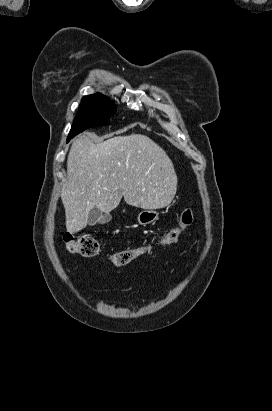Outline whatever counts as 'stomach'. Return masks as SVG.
<instances>
[{
	"label": "stomach",
	"instance_id": "stomach-1",
	"mask_svg": "<svg viewBox=\"0 0 272 411\" xmlns=\"http://www.w3.org/2000/svg\"><path fill=\"white\" fill-rule=\"evenodd\" d=\"M138 222L141 225H148L158 219V213L154 210H143L138 214Z\"/></svg>",
	"mask_w": 272,
	"mask_h": 411
}]
</instances>
